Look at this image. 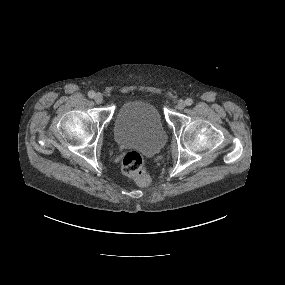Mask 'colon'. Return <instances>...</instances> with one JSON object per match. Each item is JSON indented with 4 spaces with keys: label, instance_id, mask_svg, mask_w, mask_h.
Returning a JSON list of instances; mask_svg holds the SVG:
<instances>
[{
    "label": "colon",
    "instance_id": "colon-1",
    "mask_svg": "<svg viewBox=\"0 0 285 285\" xmlns=\"http://www.w3.org/2000/svg\"><path fill=\"white\" fill-rule=\"evenodd\" d=\"M122 170L140 186H148L151 182L144 168V158L139 152L130 151L125 154Z\"/></svg>",
    "mask_w": 285,
    "mask_h": 285
}]
</instances>
